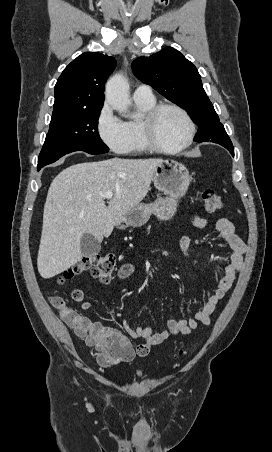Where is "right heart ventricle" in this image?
<instances>
[{"instance_id": "obj_1", "label": "right heart ventricle", "mask_w": 272, "mask_h": 452, "mask_svg": "<svg viewBox=\"0 0 272 452\" xmlns=\"http://www.w3.org/2000/svg\"><path fill=\"white\" fill-rule=\"evenodd\" d=\"M135 104L138 110L145 114L149 109L156 105V100L151 99H135ZM142 118L132 119L125 123V128L127 132V143L124 149V153L136 154L147 151L149 148L146 145L141 130Z\"/></svg>"}]
</instances>
